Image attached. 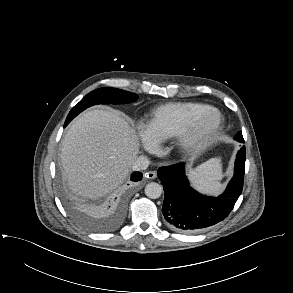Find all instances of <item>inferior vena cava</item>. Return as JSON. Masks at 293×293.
Masks as SVG:
<instances>
[{"instance_id":"obj_1","label":"inferior vena cava","mask_w":293,"mask_h":293,"mask_svg":"<svg viewBox=\"0 0 293 293\" xmlns=\"http://www.w3.org/2000/svg\"><path fill=\"white\" fill-rule=\"evenodd\" d=\"M149 164V159L146 156L141 155L134 160L131 168L133 171L145 170L148 168Z\"/></svg>"}]
</instances>
